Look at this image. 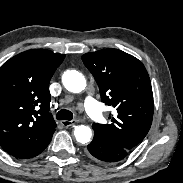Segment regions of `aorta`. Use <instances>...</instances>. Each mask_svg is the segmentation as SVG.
<instances>
[{"label":"aorta","mask_w":183,"mask_h":183,"mask_svg":"<svg viewBox=\"0 0 183 183\" xmlns=\"http://www.w3.org/2000/svg\"><path fill=\"white\" fill-rule=\"evenodd\" d=\"M62 83L68 91L73 93H80L86 87L85 77L76 70H67L64 72ZM74 136L79 143L85 144L91 139V129L85 125L76 126Z\"/></svg>","instance_id":"aorta-1"}]
</instances>
